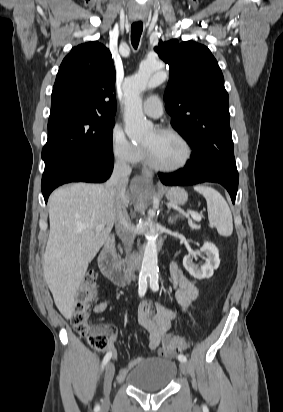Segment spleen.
Wrapping results in <instances>:
<instances>
[{
	"label": "spleen",
	"mask_w": 283,
	"mask_h": 412,
	"mask_svg": "<svg viewBox=\"0 0 283 412\" xmlns=\"http://www.w3.org/2000/svg\"><path fill=\"white\" fill-rule=\"evenodd\" d=\"M207 202L208 219L221 236L229 237L233 232V219L230 208L222 195L211 187L196 186Z\"/></svg>",
	"instance_id": "spleen-1"
}]
</instances>
